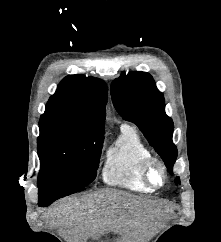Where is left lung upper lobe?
Listing matches in <instances>:
<instances>
[{
	"label": "left lung upper lobe",
	"instance_id": "left-lung-upper-lobe-1",
	"mask_svg": "<svg viewBox=\"0 0 221 242\" xmlns=\"http://www.w3.org/2000/svg\"><path fill=\"white\" fill-rule=\"evenodd\" d=\"M111 97L118 113L139 127L172 172L177 158V148L172 141L173 122L165 113L163 95L151 75L138 71L122 74L112 82ZM175 182L180 183L178 177Z\"/></svg>",
	"mask_w": 221,
	"mask_h": 242
}]
</instances>
